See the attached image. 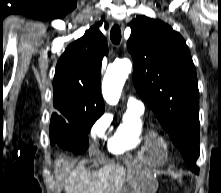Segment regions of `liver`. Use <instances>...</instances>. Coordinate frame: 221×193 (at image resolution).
<instances>
[{
	"label": "liver",
	"mask_w": 221,
	"mask_h": 193,
	"mask_svg": "<svg viewBox=\"0 0 221 193\" xmlns=\"http://www.w3.org/2000/svg\"><path fill=\"white\" fill-rule=\"evenodd\" d=\"M56 174L64 181L65 193H120L125 180V170L114 163L91 172L84 163L71 168L60 159L56 164Z\"/></svg>",
	"instance_id": "1"
}]
</instances>
